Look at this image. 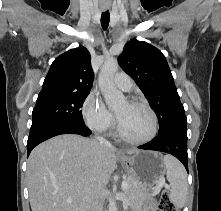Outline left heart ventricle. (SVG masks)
I'll use <instances>...</instances> for the list:
<instances>
[{
	"label": "left heart ventricle",
	"instance_id": "left-heart-ventricle-1",
	"mask_svg": "<svg viewBox=\"0 0 221 211\" xmlns=\"http://www.w3.org/2000/svg\"><path fill=\"white\" fill-rule=\"evenodd\" d=\"M115 113L126 136L132 139H143L150 134L152 118L145 108L123 101L115 109Z\"/></svg>",
	"mask_w": 221,
	"mask_h": 211
}]
</instances>
